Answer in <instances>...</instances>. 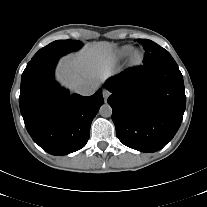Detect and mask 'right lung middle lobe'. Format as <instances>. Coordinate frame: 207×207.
<instances>
[{
    "label": "right lung middle lobe",
    "instance_id": "right-lung-middle-lobe-1",
    "mask_svg": "<svg viewBox=\"0 0 207 207\" xmlns=\"http://www.w3.org/2000/svg\"><path fill=\"white\" fill-rule=\"evenodd\" d=\"M81 47H82V43L78 40H57L41 48L33 56L32 60L51 54H66L72 51H77Z\"/></svg>",
    "mask_w": 207,
    "mask_h": 207
}]
</instances>
